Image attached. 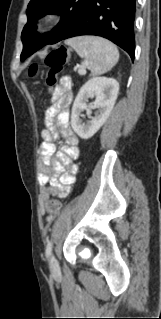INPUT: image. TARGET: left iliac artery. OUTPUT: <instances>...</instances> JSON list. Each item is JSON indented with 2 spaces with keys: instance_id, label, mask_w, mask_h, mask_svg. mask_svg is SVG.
<instances>
[{
  "instance_id": "left-iliac-artery-1",
  "label": "left iliac artery",
  "mask_w": 161,
  "mask_h": 319,
  "mask_svg": "<svg viewBox=\"0 0 161 319\" xmlns=\"http://www.w3.org/2000/svg\"><path fill=\"white\" fill-rule=\"evenodd\" d=\"M52 251V242L49 241L47 246H46V256L49 257Z\"/></svg>"
}]
</instances>
